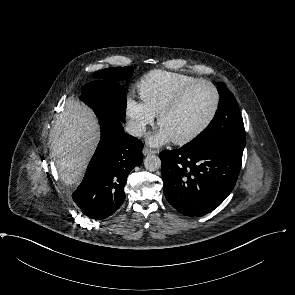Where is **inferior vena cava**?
Instances as JSON below:
<instances>
[{"mask_svg": "<svg viewBox=\"0 0 295 295\" xmlns=\"http://www.w3.org/2000/svg\"><path fill=\"white\" fill-rule=\"evenodd\" d=\"M145 124L137 120H129L126 123L125 130L133 136L140 137L145 132Z\"/></svg>", "mask_w": 295, "mask_h": 295, "instance_id": "inferior-vena-cava-1", "label": "inferior vena cava"}]
</instances>
